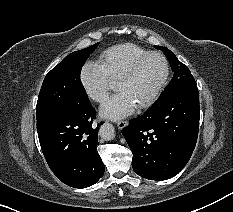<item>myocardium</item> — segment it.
<instances>
[{
  "label": "myocardium",
  "mask_w": 233,
  "mask_h": 212,
  "mask_svg": "<svg viewBox=\"0 0 233 212\" xmlns=\"http://www.w3.org/2000/svg\"><path fill=\"white\" fill-rule=\"evenodd\" d=\"M151 57H158L163 61L164 75H163L162 80L160 81L156 89L154 90V92L151 94V96L147 100H145L144 102H142L141 104L137 106V109L139 110L146 109L150 107L152 104H154V102L158 99L164 87L166 86L169 80V76H170V63H169L168 58L163 53H160V52H149L145 55L140 56L136 60H134L128 66V68L120 75V77L116 80V83L129 80L136 73L140 65Z\"/></svg>",
  "instance_id": "obj_1"
}]
</instances>
